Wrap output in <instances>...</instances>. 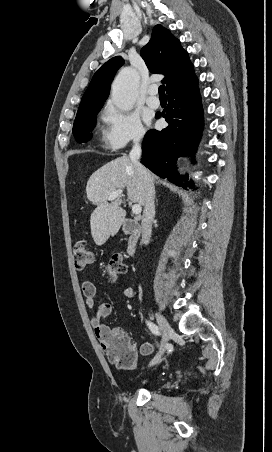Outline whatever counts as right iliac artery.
<instances>
[{
  "instance_id": "obj_1",
  "label": "right iliac artery",
  "mask_w": 272,
  "mask_h": 452,
  "mask_svg": "<svg viewBox=\"0 0 272 452\" xmlns=\"http://www.w3.org/2000/svg\"><path fill=\"white\" fill-rule=\"evenodd\" d=\"M146 323H147L148 328L150 329V331L153 334H155L157 336L161 335L160 329H159V327L156 324H154V323H152L150 321H147Z\"/></svg>"
}]
</instances>
